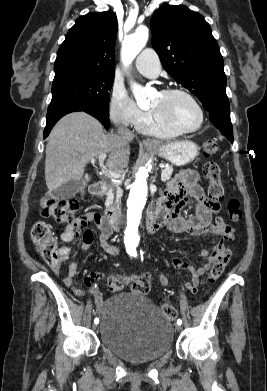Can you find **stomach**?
<instances>
[{"label":"stomach","mask_w":267,"mask_h":391,"mask_svg":"<svg viewBox=\"0 0 267 391\" xmlns=\"http://www.w3.org/2000/svg\"><path fill=\"white\" fill-rule=\"evenodd\" d=\"M148 150L158 153L168 162L176 166H185L191 163L199 154L198 145L190 140L177 141L170 144L155 142Z\"/></svg>","instance_id":"stomach-1"}]
</instances>
